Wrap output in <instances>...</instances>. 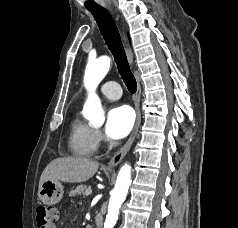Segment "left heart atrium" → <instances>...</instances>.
Listing matches in <instances>:
<instances>
[{"label": "left heart atrium", "mask_w": 238, "mask_h": 228, "mask_svg": "<svg viewBox=\"0 0 238 228\" xmlns=\"http://www.w3.org/2000/svg\"><path fill=\"white\" fill-rule=\"evenodd\" d=\"M134 120V112L129 106H114L107 113L105 133L111 139H122L131 131Z\"/></svg>", "instance_id": "obj_1"}]
</instances>
